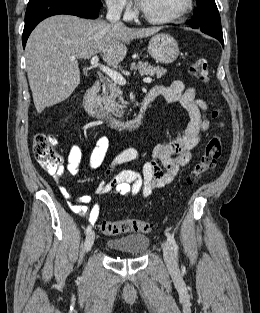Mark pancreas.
<instances>
[{
  "mask_svg": "<svg viewBox=\"0 0 260 313\" xmlns=\"http://www.w3.org/2000/svg\"><path fill=\"white\" fill-rule=\"evenodd\" d=\"M131 69L138 70L139 73L143 75H156L157 78H161L167 72L166 69L160 68L159 66H151L148 62H141L139 61L137 64L132 63ZM99 102L102 104L103 109L112 113L115 116L121 117L124 113V100L122 97V91L120 90L117 83L108 81L106 83V87L103 90V93L98 98Z\"/></svg>",
  "mask_w": 260,
  "mask_h": 313,
  "instance_id": "obj_1",
  "label": "pancreas"
}]
</instances>
